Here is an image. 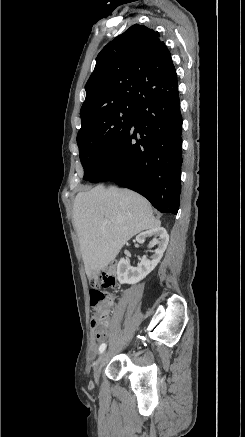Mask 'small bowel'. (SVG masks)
Instances as JSON below:
<instances>
[{"label": "small bowel", "mask_w": 245, "mask_h": 437, "mask_svg": "<svg viewBox=\"0 0 245 437\" xmlns=\"http://www.w3.org/2000/svg\"><path fill=\"white\" fill-rule=\"evenodd\" d=\"M91 327H92V329H93V323H92V322H91ZM107 335H108V331L106 332V335H105L103 338H100V339H97V338H95L94 336H92V346H93V347H96L97 343H98L100 340L106 338Z\"/></svg>", "instance_id": "obj_1"}]
</instances>
